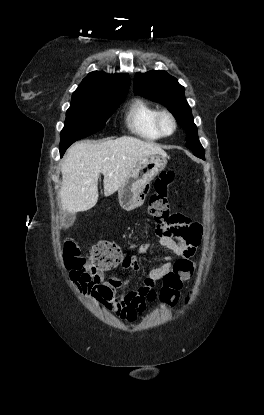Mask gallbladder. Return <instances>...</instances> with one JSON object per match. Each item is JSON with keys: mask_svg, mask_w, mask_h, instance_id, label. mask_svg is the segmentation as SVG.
I'll use <instances>...</instances> for the list:
<instances>
[{"mask_svg": "<svg viewBox=\"0 0 264 415\" xmlns=\"http://www.w3.org/2000/svg\"><path fill=\"white\" fill-rule=\"evenodd\" d=\"M75 219H76L75 214L68 213L65 217V226L66 227L71 226L74 223Z\"/></svg>", "mask_w": 264, "mask_h": 415, "instance_id": "obj_1", "label": "gallbladder"}]
</instances>
